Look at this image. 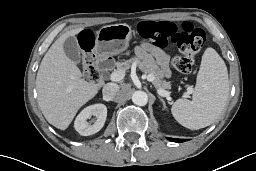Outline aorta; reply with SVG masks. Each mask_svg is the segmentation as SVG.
<instances>
[{
  "mask_svg": "<svg viewBox=\"0 0 256 171\" xmlns=\"http://www.w3.org/2000/svg\"><path fill=\"white\" fill-rule=\"evenodd\" d=\"M132 102L138 106H145L148 102V95L144 91H135L132 95Z\"/></svg>",
  "mask_w": 256,
  "mask_h": 171,
  "instance_id": "1",
  "label": "aorta"
}]
</instances>
